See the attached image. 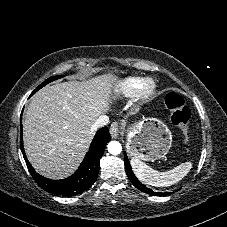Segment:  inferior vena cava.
<instances>
[{
	"instance_id": "1",
	"label": "inferior vena cava",
	"mask_w": 227,
	"mask_h": 227,
	"mask_svg": "<svg viewBox=\"0 0 227 227\" xmlns=\"http://www.w3.org/2000/svg\"><path fill=\"white\" fill-rule=\"evenodd\" d=\"M109 123V118L106 115H101L97 118V120L95 121V123L93 124V129L96 130L100 127H104L105 125H107Z\"/></svg>"
}]
</instances>
